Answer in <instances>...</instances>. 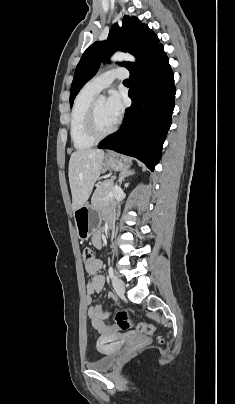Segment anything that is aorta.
Here are the masks:
<instances>
[{
    "label": "aorta",
    "mask_w": 235,
    "mask_h": 404,
    "mask_svg": "<svg viewBox=\"0 0 235 404\" xmlns=\"http://www.w3.org/2000/svg\"><path fill=\"white\" fill-rule=\"evenodd\" d=\"M110 60L112 62H121V61L135 62L136 61L134 56H132L129 53H123V52L114 53ZM98 102L99 103H104L105 102V97L104 96H99Z\"/></svg>",
    "instance_id": "obj_1"
}]
</instances>
